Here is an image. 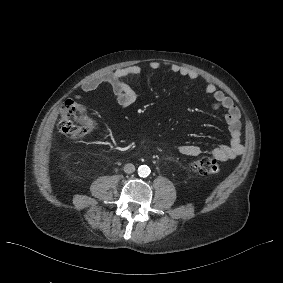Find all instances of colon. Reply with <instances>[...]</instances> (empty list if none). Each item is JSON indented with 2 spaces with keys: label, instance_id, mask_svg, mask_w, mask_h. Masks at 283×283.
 <instances>
[{
  "label": "colon",
  "instance_id": "1",
  "mask_svg": "<svg viewBox=\"0 0 283 283\" xmlns=\"http://www.w3.org/2000/svg\"><path fill=\"white\" fill-rule=\"evenodd\" d=\"M92 127L90 118L86 115L84 108L73 100H67L62 107L58 128L60 132L77 140L86 136ZM192 171L212 176L221 172L220 163L211 157H199L190 163Z\"/></svg>",
  "mask_w": 283,
  "mask_h": 283
}]
</instances>
